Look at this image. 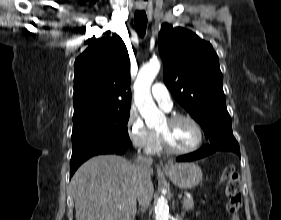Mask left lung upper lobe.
I'll list each match as a JSON object with an SVG mask.
<instances>
[{"label": "left lung upper lobe", "instance_id": "5c2ea615", "mask_svg": "<svg viewBox=\"0 0 281 220\" xmlns=\"http://www.w3.org/2000/svg\"><path fill=\"white\" fill-rule=\"evenodd\" d=\"M163 77L174 98L199 122L211 146H239L226 108L219 58L190 30L163 24L158 35Z\"/></svg>", "mask_w": 281, "mask_h": 220}]
</instances>
